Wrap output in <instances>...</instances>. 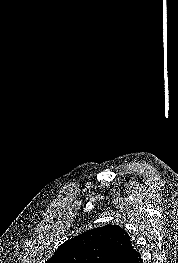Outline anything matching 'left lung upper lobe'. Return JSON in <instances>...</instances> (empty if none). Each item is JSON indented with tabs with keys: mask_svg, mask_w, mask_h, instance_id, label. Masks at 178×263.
Segmentation results:
<instances>
[{
	"mask_svg": "<svg viewBox=\"0 0 178 263\" xmlns=\"http://www.w3.org/2000/svg\"><path fill=\"white\" fill-rule=\"evenodd\" d=\"M128 238L118 225L98 227L60 245L46 263H109Z\"/></svg>",
	"mask_w": 178,
	"mask_h": 263,
	"instance_id": "5c2ea615",
	"label": "left lung upper lobe"
}]
</instances>
